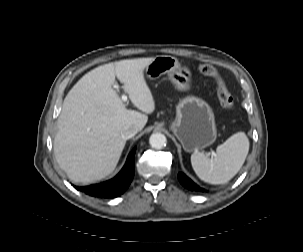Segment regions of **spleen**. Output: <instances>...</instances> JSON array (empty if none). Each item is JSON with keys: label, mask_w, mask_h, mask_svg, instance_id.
Here are the masks:
<instances>
[{"label": "spleen", "mask_w": 303, "mask_h": 252, "mask_svg": "<svg viewBox=\"0 0 303 252\" xmlns=\"http://www.w3.org/2000/svg\"><path fill=\"white\" fill-rule=\"evenodd\" d=\"M249 152V140L244 132H237L216 149L214 157L202 152L191 155L196 175L210 184H224L231 180L243 166Z\"/></svg>", "instance_id": "1"}]
</instances>
